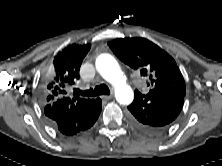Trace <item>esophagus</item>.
I'll return each mask as SVG.
<instances>
[{
    "label": "esophagus",
    "mask_w": 222,
    "mask_h": 166,
    "mask_svg": "<svg viewBox=\"0 0 222 166\" xmlns=\"http://www.w3.org/2000/svg\"><path fill=\"white\" fill-rule=\"evenodd\" d=\"M102 98L105 100H110L112 98V95H104L102 96Z\"/></svg>",
    "instance_id": "esophagus-1"
}]
</instances>
